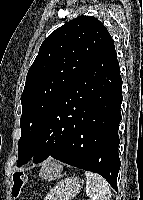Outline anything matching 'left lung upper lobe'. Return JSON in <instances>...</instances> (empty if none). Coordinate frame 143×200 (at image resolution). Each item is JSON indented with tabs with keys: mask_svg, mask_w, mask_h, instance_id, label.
I'll use <instances>...</instances> for the list:
<instances>
[{
	"mask_svg": "<svg viewBox=\"0 0 143 200\" xmlns=\"http://www.w3.org/2000/svg\"><path fill=\"white\" fill-rule=\"evenodd\" d=\"M111 40L98 19L80 16L43 41L27 73L21 95L19 167L32 159L42 125L59 98ZM65 112L55 117L56 122Z\"/></svg>",
	"mask_w": 143,
	"mask_h": 200,
	"instance_id": "5c2ea615",
	"label": "left lung upper lobe"
}]
</instances>
